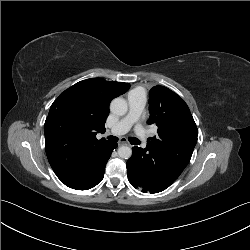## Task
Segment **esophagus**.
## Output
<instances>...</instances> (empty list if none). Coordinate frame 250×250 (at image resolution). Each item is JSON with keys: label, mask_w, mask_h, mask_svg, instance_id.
<instances>
[{"label": "esophagus", "mask_w": 250, "mask_h": 250, "mask_svg": "<svg viewBox=\"0 0 250 250\" xmlns=\"http://www.w3.org/2000/svg\"><path fill=\"white\" fill-rule=\"evenodd\" d=\"M118 145H129L127 139L121 138L118 142Z\"/></svg>", "instance_id": "1"}]
</instances>
